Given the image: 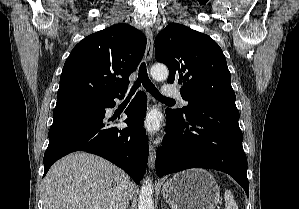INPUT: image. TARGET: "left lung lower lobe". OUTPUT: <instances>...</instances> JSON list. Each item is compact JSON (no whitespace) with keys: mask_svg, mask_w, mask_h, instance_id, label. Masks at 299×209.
Here are the masks:
<instances>
[{"mask_svg":"<svg viewBox=\"0 0 299 209\" xmlns=\"http://www.w3.org/2000/svg\"><path fill=\"white\" fill-rule=\"evenodd\" d=\"M166 115V135L156 153L159 177L195 167L216 169L232 176L249 195L235 102L206 100L184 117L167 111Z\"/></svg>","mask_w":299,"mask_h":209,"instance_id":"left-lung-lower-lobe-1","label":"left lung lower lobe"}]
</instances>
